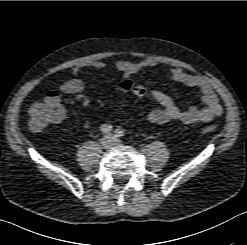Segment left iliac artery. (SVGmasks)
Segmentation results:
<instances>
[{
	"mask_svg": "<svg viewBox=\"0 0 247 245\" xmlns=\"http://www.w3.org/2000/svg\"><path fill=\"white\" fill-rule=\"evenodd\" d=\"M115 136H117V137H122V136H124V130L121 129V128H117V129L115 130Z\"/></svg>",
	"mask_w": 247,
	"mask_h": 245,
	"instance_id": "left-iliac-artery-1",
	"label": "left iliac artery"
}]
</instances>
